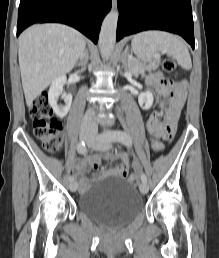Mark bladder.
Returning <instances> with one entry per match:
<instances>
[{
	"label": "bladder",
	"mask_w": 219,
	"mask_h": 258,
	"mask_svg": "<svg viewBox=\"0 0 219 258\" xmlns=\"http://www.w3.org/2000/svg\"><path fill=\"white\" fill-rule=\"evenodd\" d=\"M78 208L103 224L119 227L134 219L144 202L127 181L106 175L80 194Z\"/></svg>",
	"instance_id": "obj_1"
}]
</instances>
